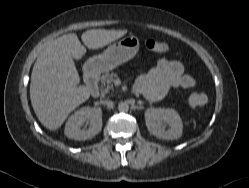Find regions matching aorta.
Segmentation results:
<instances>
[{
    "label": "aorta",
    "instance_id": "obj_1",
    "mask_svg": "<svg viewBox=\"0 0 249 188\" xmlns=\"http://www.w3.org/2000/svg\"><path fill=\"white\" fill-rule=\"evenodd\" d=\"M118 110L120 112H127L129 110V105L127 102H120L118 105Z\"/></svg>",
    "mask_w": 249,
    "mask_h": 188
}]
</instances>
